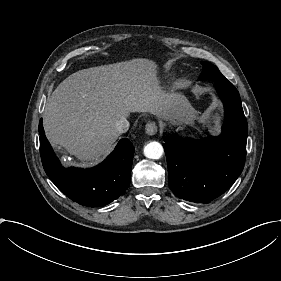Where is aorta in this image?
<instances>
[{"mask_svg":"<svg viewBox=\"0 0 281 281\" xmlns=\"http://www.w3.org/2000/svg\"><path fill=\"white\" fill-rule=\"evenodd\" d=\"M163 152L162 145L156 141L150 142L144 147V155L149 159H160Z\"/></svg>","mask_w":281,"mask_h":281,"instance_id":"obj_1","label":"aorta"}]
</instances>
